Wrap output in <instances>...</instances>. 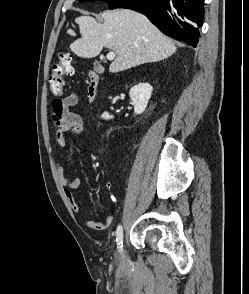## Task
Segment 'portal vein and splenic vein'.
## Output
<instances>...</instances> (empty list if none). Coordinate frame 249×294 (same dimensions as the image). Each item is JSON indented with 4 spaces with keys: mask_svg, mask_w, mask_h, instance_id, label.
<instances>
[{
    "mask_svg": "<svg viewBox=\"0 0 249 294\" xmlns=\"http://www.w3.org/2000/svg\"><path fill=\"white\" fill-rule=\"evenodd\" d=\"M115 57H116V54H115V52H113V51H110L109 53H107V55H106V58L108 59V60H114L115 59Z\"/></svg>",
    "mask_w": 249,
    "mask_h": 294,
    "instance_id": "obj_1",
    "label": "portal vein and splenic vein"
}]
</instances>
